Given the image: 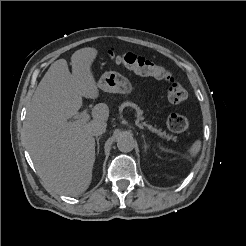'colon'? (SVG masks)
Returning a JSON list of instances; mask_svg holds the SVG:
<instances>
[{
    "label": "colon",
    "instance_id": "colon-1",
    "mask_svg": "<svg viewBox=\"0 0 246 246\" xmlns=\"http://www.w3.org/2000/svg\"><path fill=\"white\" fill-rule=\"evenodd\" d=\"M110 58L118 65H121L136 74L142 76H151L158 80L169 83L167 88V101L170 104H179L187 98V90L178 83L173 74L165 67L157 65L150 60L139 56L133 52L117 54L109 51ZM189 120L179 114H171L167 120L168 128L176 133L186 131L189 128Z\"/></svg>",
    "mask_w": 246,
    "mask_h": 246
}]
</instances>
